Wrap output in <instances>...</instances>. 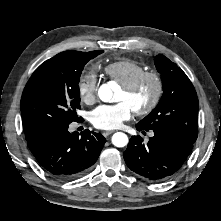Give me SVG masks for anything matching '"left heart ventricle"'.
Here are the masks:
<instances>
[{
  "instance_id": "1",
  "label": "left heart ventricle",
  "mask_w": 221,
  "mask_h": 221,
  "mask_svg": "<svg viewBox=\"0 0 221 221\" xmlns=\"http://www.w3.org/2000/svg\"><path fill=\"white\" fill-rule=\"evenodd\" d=\"M154 92V85L151 81H146L134 92H126L122 88L116 95L117 102H127L133 110L142 108L149 103Z\"/></svg>"
}]
</instances>
